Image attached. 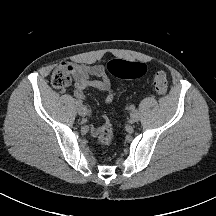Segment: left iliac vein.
<instances>
[{
	"label": "left iliac vein",
	"instance_id": "obj_1",
	"mask_svg": "<svg viewBox=\"0 0 216 216\" xmlns=\"http://www.w3.org/2000/svg\"><path fill=\"white\" fill-rule=\"evenodd\" d=\"M130 118L132 122H138L139 118H140V114L137 110H134L131 112L130 114Z\"/></svg>",
	"mask_w": 216,
	"mask_h": 216
}]
</instances>
